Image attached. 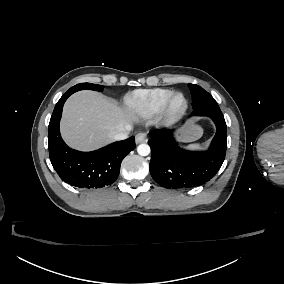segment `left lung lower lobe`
<instances>
[{
  "label": "left lung lower lobe",
  "instance_id": "1",
  "mask_svg": "<svg viewBox=\"0 0 284 284\" xmlns=\"http://www.w3.org/2000/svg\"><path fill=\"white\" fill-rule=\"evenodd\" d=\"M192 115L210 117L217 128L207 151L193 152L180 148L172 130H152L148 144L151 147L150 173L167 189H186L209 181L220 169L227 148V126L218 104L197 107Z\"/></svg>",
  "mask_w": 284,
  "mask_h": 284
}]
</instances>
